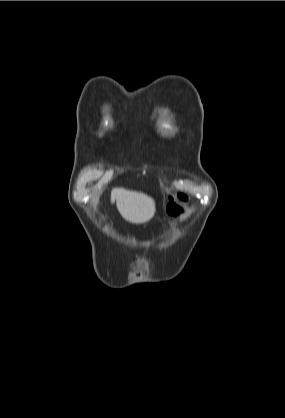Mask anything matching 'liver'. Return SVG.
I'll use <instances>...</instances> for the list:
<instances>
[{"instance_id":"1","label":"liver","mask_w":285,"mask_h":418,"mask_svg":"<svg viewBox=\"0 0 285 418\" xmlns=\"http://www.w3.org/2000/svg\"><path fill=\"white\" fill-rule=\"evenodd\" d=\"M116 206L121 216L133 224H143L153 218L156 208L154 200L148 195L116 188L111 191V202Z\"/></svg>"}]
</instances>
